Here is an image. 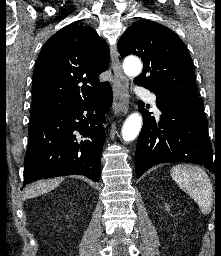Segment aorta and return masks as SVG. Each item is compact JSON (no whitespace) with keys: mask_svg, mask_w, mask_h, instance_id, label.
Masks as SVG:
<instances>
[{"mask_svg":"<svg viewBox=\"0 0 221 256\" xmlns=\"http://www.w3.org/2000/svg\"><path fill=\"white\" fill-rule=\"evenodd\" d=\"M124 72L128 76L140 74L142 64L139 59L126 60L123 64ZM142 127V116L134 112L128 116L122 127V138L125 142L133 141L139 134Z\"/></svg>","mask_w":221,"mask_h":256,"instance_id":"obj_1","label":"aorta"}]
</instances>
